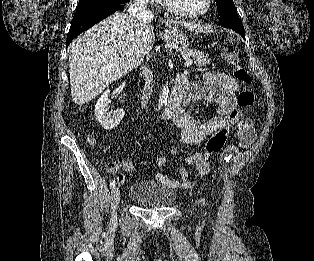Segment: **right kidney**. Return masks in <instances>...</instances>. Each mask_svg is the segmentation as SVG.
<instances>
[{
    "instance_id": "ca27d5eb",
    "label": "right kidney",
    "mask_w": 314,
    "mask_h": 261,
    "mask_svg": "<svg viewBox=\"0 0 314 261\" xmlns=\"http://www.w3.org/2000/svg\"><path fill=\"white\" fill-rule=\"evenodd\" d=\"M109 93L110 90H106L95 105V115L98 122L105 130L114 129L123 119L125 114L123 109H118L115 111L113 116L108 113L107 107L111 103V100L108 98Z\"/></svg>"
}]
</instances>
